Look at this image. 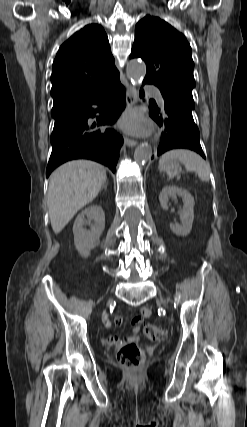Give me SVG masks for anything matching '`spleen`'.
<instances>
[{
  "label": "spleen",
  "mask_w": 247,
  "mask_h": 427,
  "mask_svg": "<svg viewBox=\"0 0 247 427\" xmlns=\"http://www.w3.org/2000/svg\"><path fill=\"white\" fill-rule=\"evenodd\" d=\"M173 160H179L182 162L185 165L187 171L197 172L201 181H209L210 165L195 152L186 149H175L168 151L160 158L159 166H164Z\"/></svg>",
  "instance_id": "obj_1"
}]
</instances>
